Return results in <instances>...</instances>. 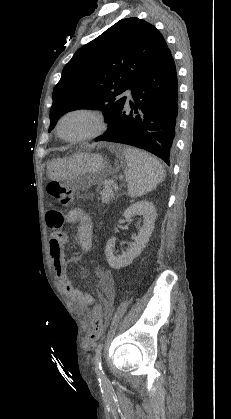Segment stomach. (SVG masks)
Segmentation results:
<instances>
[{"instance_id": "0dacf381", "label": "stomach", "mask_w": 231, "mask_h": 419, "mask_svg": "<svg viewBox=\"0 0 231 419\" xmlns=\"http://www.w3.org/2000/svg\"><path fill=\"white\" fill-rule=\"evenodd\" d=\"M107 171L106 159L96 153H76L51 161L47 166L49 179L67 180L79 189L100 182Z\"/></svg>"}]
</instances>
